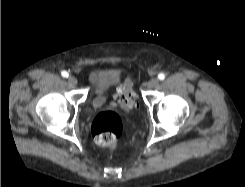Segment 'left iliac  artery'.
<instances>
[{"instance_id": "44dca946", "label": "left iliac artery", "mask_w": 245, "mask_h": 187, "mask_svg": "<svg viewBox=\"0 0 245 187\" xmlns=\"http://www.w3.org/2000/svg\"><path fill=\"white\" fill-rule=\"evenodd\" d=\"M158 78H159L160 80H163V79L165 78L164 73H160V74L158 75Z\"/></svg>"}]
</instances>
